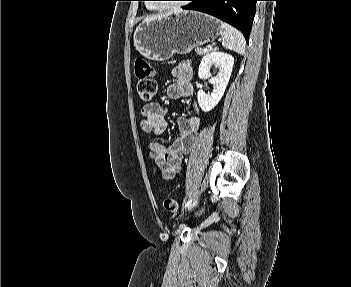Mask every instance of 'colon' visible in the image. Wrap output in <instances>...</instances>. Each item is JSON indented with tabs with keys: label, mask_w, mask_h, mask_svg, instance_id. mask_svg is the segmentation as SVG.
<instances>
[{
	"label": "colon",
	"mask_w": 351,
	"mask_h": 287,
	"mask_svg": "<svg viewBox=\"0 0 351 287\" xmlns=\"http://www.w3.org/2000/svg\"><path fill=\"white\" fill-rule=\"evenodd\" d=\"M134 71L138 79L137 92L139 99L142 103H150L157 92L154 68L146 59L138 57L134 62ZM163 205L166 211L173 214H176L179 210L178 202L174 198L165 199Z\"/></svg>",
	"instance_id": "colon-1"
}]
</instances>
